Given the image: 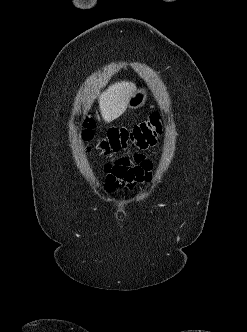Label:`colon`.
<instances>
[{
  "label": "colon",
  "mask_w": 247,
  "mask_h": 332,
  "mask_svg": "<svg viewBox=\"0 0 247 332\" xmlns=\"http://www.w3.org/2000/svg\"><path fill=\"white\" fill-rule=\"evenodd\" d=\"M94 121L85 117L82 122L81 137L84 141L93 138ZM161 132L160 117L152 114L147 120L129 128H112L107 136L100 142V148L106 153L118 152L127 147L147 149L155 144L158 134Z\"/></svg>",
  "instance_id": "obj_1"
}]
</instances>
